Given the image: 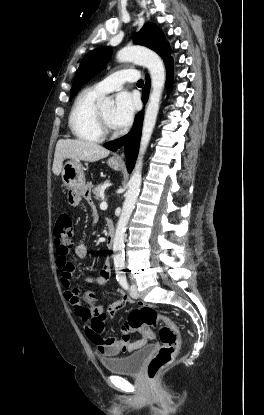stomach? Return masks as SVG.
<instances>
[{"instance_id":"stomach-1","label":"stomach","mask_w":264,"mask_h":415,"mask_svg":"<svg viewBox=\"0 0 264 415\" xmlns=\"http://www.w3.org/2000/svg\"><path fill=\"white\" fill-rule=\"evenodd\" d=\"M108 166L114 170H121L122 164L113 158L108 159ZM62 180L64 185L71 192L68 202L75 207L79 204L80 197L85 195L92 185L86 184L84 171L82 165L78 160L67 161L62 169Z\"/></svg>"}]
</instances>
